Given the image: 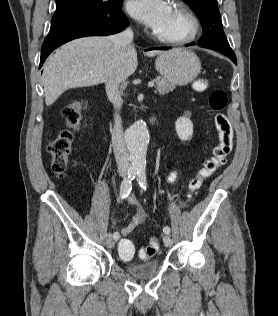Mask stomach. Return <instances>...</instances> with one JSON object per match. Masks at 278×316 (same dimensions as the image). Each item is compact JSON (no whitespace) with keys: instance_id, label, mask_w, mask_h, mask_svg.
Returning a JSON list of instances; mask_svg holds the SVG:
<instances>
[{"instance_id":"0dacf381","label":"stomach","mask_w":278,"mask_h":316,"mask_svg":"<svg viewBox=\"0 0 278 316\" xmlns=\"http://www.w3.org/2000/svg\"><path fill=\"white\" fill-rule=\"evenodd\" d=\"M155 66L167 82L179 86L191 83L201 69L200 60L194 52L178 48L161 52Z\"/></svg>"}]
</instances>
